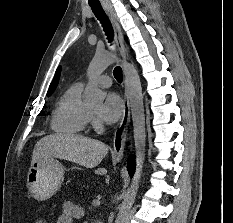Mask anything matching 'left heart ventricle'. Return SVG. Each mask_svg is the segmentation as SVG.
<instances>
[{
  "mask_svg": "<svg viewBox=\"0 0 233 223\" xmlns=\"http://www.w3.org/2000/svg\"><path fill=\"white\" fill-rule=\"evenodd\" d=\"M98 108H99V107H91L90 110H91L92 112H95V111L98 110Z\"/></svg>",
  "mask_w": 233,
  "mask_h": 223,
  "instance_id": "1",
  "label": "left heart ventricle"
}]
</instances>
